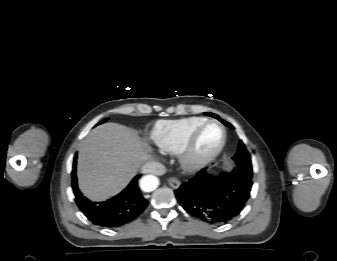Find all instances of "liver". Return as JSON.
Listing matches in <instances>:
<instances>
[{
    "instance_id": "liver-1",
    "label": "liver",
    "mask_w": 337,
    "mask_h": 261,
    "mask_svg": "<svg viewBox=\"0 0 337 261\" xmlns=\"http://www.w3.org/2000/svg\"><path fill=\"white\" fill-rule=\"evenodd\" d=\"M148 158L135 131L117 123L100 125L79 145V187L91 200L109 198L126 187Z\"/></svg>"
}]
</instances>
